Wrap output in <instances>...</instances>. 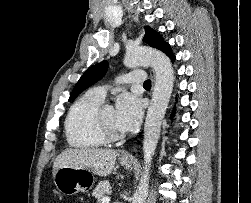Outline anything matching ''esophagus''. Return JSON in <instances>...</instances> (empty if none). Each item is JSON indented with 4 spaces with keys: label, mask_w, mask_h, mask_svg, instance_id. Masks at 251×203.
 Listing matches in <instances>:
<instances>
[{
    "label": "esophagus",
    "mask_w": 251,
    "mask_h": 203,
    "mask_svg": "<svg viewBox=\"0 0 251 203\" xmlns=\"http://www.w3.org/2000/svg\"><path fill=\"white\" fill-rule=\"evenodd\" d=\"M150 76H151V78H152V81L154 82V80H155V73H154V70H153V69H150ZM122 157H123L124 159H129V158H131V156H130L129 153H124V154L122 155Z\"/></svg>",
    "instance_id": "34e87169"
}]
</instances>
